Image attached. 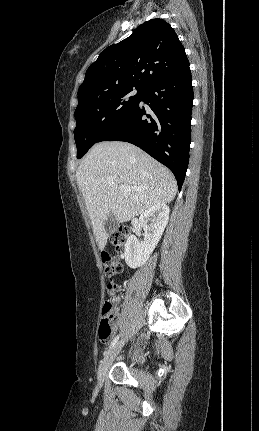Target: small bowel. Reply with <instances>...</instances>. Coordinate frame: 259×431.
Listing matches in <instances>:
<instances>
[{"instance_id":"1","label":"small bowel","mask_w":259,"mask_h":431,"mask_svg":"<svg viewBox=\"0 0 259 431\" xmlns=\"http://www.w3.org/2000/svg\"><path fill=\"white\" fill-rule=\"evenodd\" d=\"M114 302H115L116 304H117V303H119V299H116ZM118 322H119V321H118Z\"/></svg>"}]
</instances>
